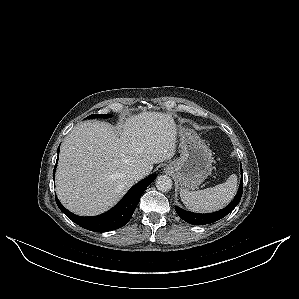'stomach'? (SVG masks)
<instances>
[{
	"label": "stomach",
	"mask_w": 299,
	"mask_h": 299,
	"mask_svg": "<svg viewBox=\"0 0 299 299\" xmlns=\"http://www.w3.org/2000/svg\"><path fill=\"white\" fill-rule=\"evenodd\" d=\"M177 129L181 154L166 166V172L174 176L181 189L194 190L211 174V151L193 129Z\"/></svg>",
	"instance_id": "stomach-1"
}]
</instances>
